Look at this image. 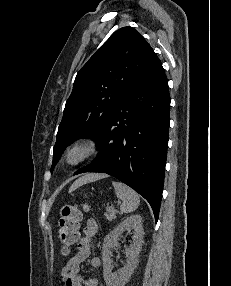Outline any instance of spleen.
Listing matches in <instances>:
<instances>
[{
  "label": "spleen",
  "instance_id": "1",
  "mask_svg": "<svg viewBox=\"0 0 231 286\" xmlns=\"http://www.w3.org/2000/svg\"><path fill=\"white\" fill-rule=\"evenodd\" d=\"M115 193L122 200L120 206L121 213H131L135 211L140 204V197L132 188L119 181H112Z\"/></svg>",
  "mask_w": 231,
  "mask_h": 286
}]
</instances>
